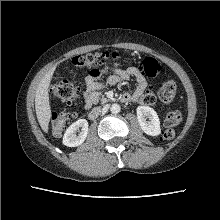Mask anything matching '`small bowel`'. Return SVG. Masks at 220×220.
<instances>
[{"label":"small bowel","instance_id":"1","mask_svg":"<svg viewBox=\"0 0 220 220\" xmlns=\"http://www.w3.org/2000/svg\"><path fill=\"white\" fill-rule=\"evenodd\" d=\"M131 76L136 78V89L132 94L125 93L122 95V100L128 98L130 101L136 103H143L142 98L147 89V81L141 72L135 67L127 69H118L109 74L107 69L97 70L91 72L84 79L85 90L83 92L84 109H89L93 104L99 100V90L102 85V80L105 79L108 84L114 85L121 81L128 80Z\"/></svg>","mask_w":220,"mask_h":220}]
</instances>
